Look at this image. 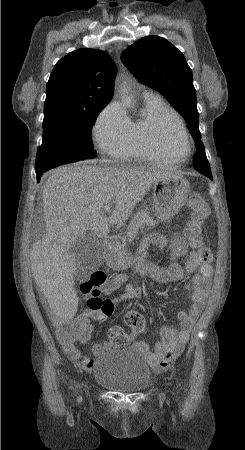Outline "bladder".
<instances>
[{"instance_id":"bladder-1","label":"bladder","mask_w":245,"mask_h":450,"mask_svg":"<svg viewBox=\"0 0 245 450\" xmlns=\"http://www.w3.org/2000/svg\"><path fill=\"white\" fill-rule=\"evenodd\" d=\"M95 383L121 393H138L150 383L148 365L134 348L123 347L104 354L93 367Z\"/></svg>"}]
</instances>
